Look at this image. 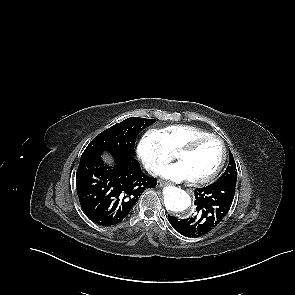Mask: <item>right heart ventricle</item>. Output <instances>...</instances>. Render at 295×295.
<instances>
[{
  "mask_svg": "<svg viewBox=\"0 0 295 295\" xmlns=\"http://www.w3.org/2000/svg\"><path fill=\"white\" fill-rule=\"evenodd\" d=\"M164 147L170 153H176L183 145L191 139L208 134L209 132L191 125L175 124L156 130Z\"/></svg>",
  "mask_w": 295,
  "mask_h": 295,
  "instance_id": "e07e8e85",
  "label": "right heart ventricle"
}]
</instances>
